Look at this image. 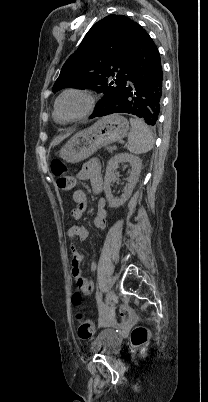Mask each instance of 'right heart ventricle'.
Masks as SVG:
<instances>
[{
  "mask_svg": "<svg viewBox=\"0 0 208 402\" xmlns=\"http://www.w3.org/2000/svg\"><path fill=\"white\" fill-rule=\"evenodd\" d=\"M53 120H54V122L55 123H57V124H63V122H61L57 117H56V115L53 113Z\"/></svg>",
  "mask_w": 208,
  "mask_h": 402,
  "instance_id": "right-heart-ventricle-1",
  "label": "right heart ventricle"
}]
</instances>
